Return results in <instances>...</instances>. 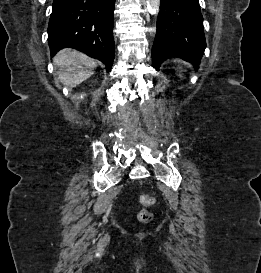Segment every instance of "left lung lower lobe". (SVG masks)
<instances>
[{
    "mask_svg": "<svg viewBox=\"0 0 261 273\" xmlns=\"http://www.w3.org/2000/svg\"><path fill=\"white\" fill-rule=\"evenodd\" d=\"M206 41L203 17L198 0H161L157 31L152 46V64L176 57L197 67L204 54Z\"/></svg>",
    "mask_w": 261,
    "mask_h": 273,
    "instance_id": "1",
    "label": "left lung lower lobe"
}]
</instances>
